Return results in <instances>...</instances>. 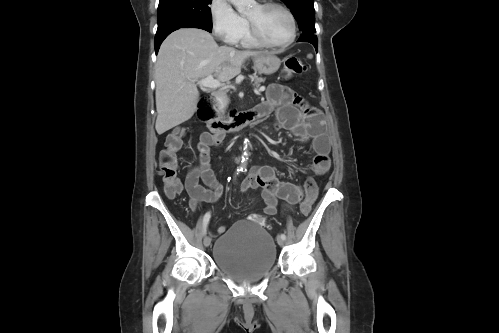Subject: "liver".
Segmentation results:
<instances>
[{
    "mask_svg": "<svg viewBox=\"0 0 499 333\" xmlns=\"http://www.w3.org/2000/svg\"><path fill=\"white\" fill-rule=\"evenodd\" d=\"M262 54L218 46L213 36L201 29L171 33L159 49L155 66L157 133L161 135L194 115L199 101L198 79L215 73L217 80L229 81L241 72L249 57Z\"/></svg>",
    "mask_w": 499,
    "mask_h": 333,
    "instance_id": "1",
    "label": "liver"
}]
</instances>
